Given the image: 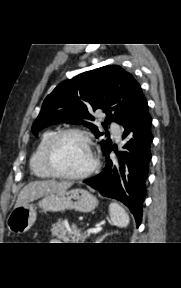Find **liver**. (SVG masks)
<instances>
[{
	"instance_id": "6515ba94",
	"label": "liver",
	"mask_w": 181,
	"mask_h": 288,
	"mask_svg": "<svg viewBox=\"0 0 181 288\" xmlns=\"http://www.w3.org/2000/svg\"><path fill=\"white\" fill-rule=\"evenodd\" d=\"M72 182L34 181L27 184L19 193L15 208L30 203L48 194L66 191Z\"/></svg>"
}]
</instances>
